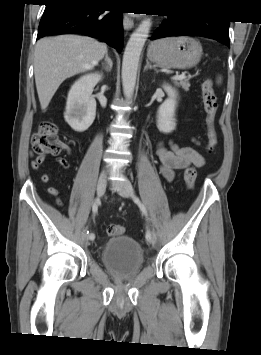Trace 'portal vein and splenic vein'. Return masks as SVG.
I'll list each match as a JSON object with an SVG mask.
<instances>
[{"label":"portal vein and splenic vein","instance_id":"portal-vein-and-splenic-vein-1","mask_svg":"<svg viewBox=\"0 0 261 355\" xmlns=\"http://www.w3.org/2000/svg\"><path fill=\"white\" fill-rule=\"evenodd\" d=\"M186 76L184 73L180 74V75H176L173 77L174 80H182L184 79Z\"/></svg>","mask_w":261,"mask_h":355}]
</instances>
